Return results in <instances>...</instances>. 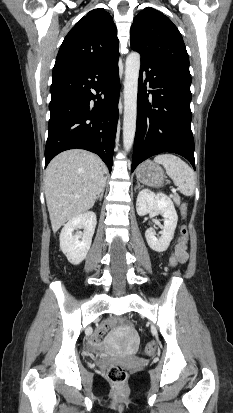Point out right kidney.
Instances as JSON below:
<instances>
[{
    "label": "right kidney",
    "instance_id": "obj_1",
    "mask_svg": "<svg viewBox=\"0 0 233 413\" xmlns=\"http://www.w3.org/2000/svg\"><path fill=\"white\" fill-rule=\"evenodd\" d=\"M96 224V214L88 211L70 219L64 225L60 233V248L70 263L78 265L86 258ZM80 226L84 228L83 233L74 235V230Z\"/></svg>",
    "mask_w": 233,
    "mask_h": 413
}]
</instances>
